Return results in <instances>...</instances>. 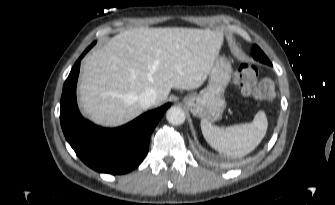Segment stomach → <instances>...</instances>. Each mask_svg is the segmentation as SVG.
I'll use <instances>...</instances> for the list:
<instances>
[{"label": "stomach", "mask_w": 335, "mask_h": 205, "mask_svg": "<svg viewBox=\"0 0 335 205\" xmlns=\"http://www.w3.org/2000/svg\"><path fill=\"white\" fill-rule=\"evenodd\" d=\"M231 74L230 61L224 56L217 57L210 69L207 86L199 94L184 97L183 103L194 116L209 122L220 119L226 107L224 94Z\"/></svg>", "instance_id": "1"}]
</instances>
